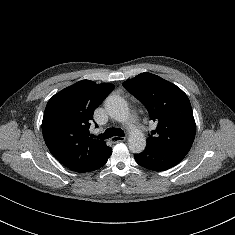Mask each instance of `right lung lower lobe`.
Instances as JSON below:
<instances>
[{
    "label": "right lung lower lobe",
    "instance_id": "obj_1",
    "mask_svg": "<svg viewBox=\"0 0 235 235\" xmlns=\"http://www.w3.org/2000/svg\"><path fill=\"white\" fill-rule=\"evenodd\" d=\"M112 154V148L111 147H107L93 162L92 164L86 168L83 172H87V171H94L99 169L100 167H102L103 165H105V163L107 162L108 158L111 156Z\"/></svg>",
    "mask_w": 235,
    "mask_h": 235
}]
</instances>
